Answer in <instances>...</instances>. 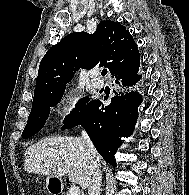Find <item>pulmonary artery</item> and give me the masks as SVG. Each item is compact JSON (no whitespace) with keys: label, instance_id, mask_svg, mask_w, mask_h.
Listing matches in <instances>:
<instances>
[{"label":"pulmonary artery","instance_id":"1","mask_svg":"<svg viewBox=\"0 0 189 195\" xmlns=\"http://www.w3.org/2000/svg\"><path fill=\"white\" fill-rule=\"evenodd\" d=\"M91 85L95 89H101L104 87V81L98 78L97 74L92 76Z\"/></svg>","mask_w":189,"mask_h":195}]
</instances>
